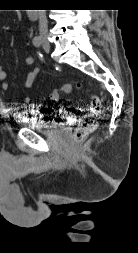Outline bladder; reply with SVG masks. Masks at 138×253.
Returning a JSON list of instances; mask_svg holds the SVG:
<instances>
[{
	"mask_svg": "<svg viewBox=\"0 0 138 253\" xmlns=\"http://www.w3.org/2000/svg\"><path fill=\"white\" fill-rule=\"evenodd\" d=\"M34 109L20 111L18 114L19 122L26 128L34 130L36 132L47 133L58 127V124L47 119V112L36 111V106Z\"/></svg>",
	"mask_w": 138,
	"mask_h": 253,
	"instance_id": "bladder-1",
	"label": "bladder"
}]
</instances>
